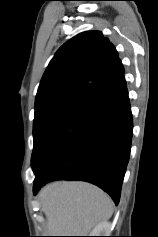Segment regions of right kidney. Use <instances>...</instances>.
Segmentation results:
<instances>
[{
  "mask_svg": "<svg viewBox=\"0 0 158 237\" xmlns=\"http://www.w3.org/2000/svg\"><path fill=\"white\" fill-rule=\"evenodd\" d=\"M110 223L103 222L97 225L94 230L91 232L90 236H109L110 235Z\"/></svg>",
  "mask_w": 158,
  "mask_h": 237,
  "instance_id": "obj_1",
  "label": "right kidney"
}]
</instances>
